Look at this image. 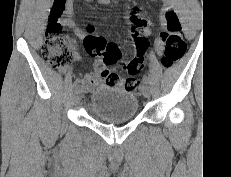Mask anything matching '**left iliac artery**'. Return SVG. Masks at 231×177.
<instances>
[{
  "label": "left iliac artery",
  "instance_id": "obj_1",
  "mask_svg": "<svg viewBox=\"0 0 231 177\" xmlns=\"http://www.w3.org/2000/svg\"><path fill=\"white\" fill-rule=\"evenodd\" d=\"M144 80L148 83H151V79L149 77H147L146 75L144 76Z\"/></svg>",
  "mask_w": 231,
  "mask_h": 177
}]
</instances>
